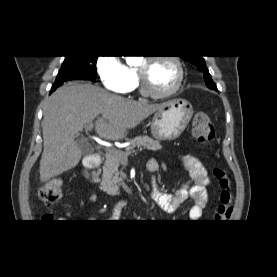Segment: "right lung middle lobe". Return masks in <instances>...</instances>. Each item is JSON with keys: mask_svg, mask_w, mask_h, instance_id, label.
<instances>
[{"mask_svg": "<svg viewBox=\"0 0 277 277\" xmlns=\"http://www.w3.org/2000/svg\"><path fill=\"white\" fill-rule=\"evenodd\" d=\"M97 57L98 56H65V60L58 75L76 73L93 81L96 78Z\"/></svg>", "mask_w": 277, "mask_h": 277, "instance_id": "1", "label": "right lung middle lobe"}]
</instances>
